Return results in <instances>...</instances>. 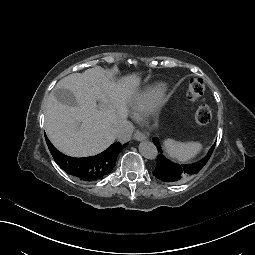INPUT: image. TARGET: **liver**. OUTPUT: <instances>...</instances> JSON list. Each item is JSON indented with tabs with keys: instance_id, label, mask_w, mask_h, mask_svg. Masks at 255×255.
<instances>
[{
	"instance_id": "6515ba94",
	"label": "liver",
	"mask_w": 255,
	"mask_h": 255,
	"mask_svg": "<svg viewBox=\"0 0 255 255\" xmlns=\"http://www.w3.org/2000/svg\"><path fill=\"white\" fill-rule=\"evenodd\" d=\"M139 83L136 75L114 83L100 66L64 77L56 88L73 92L79 106L63 105L53 92L49 95L44 125L49 140L71 157L103 152L114 142L119 127L127 122V103L136 94Z\"/></svg>"
}]
</instances>
